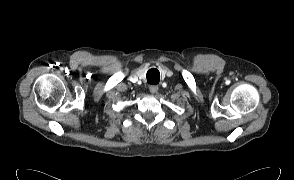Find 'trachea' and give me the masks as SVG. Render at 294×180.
Wrapping results in <instances>:
<instances>
[{
	"label": "trachea",
	"mask_w": 294,
	"mask_h": 180,
	"mask_svg": "<svg viewBox=\"0 0 294 180\" xmlns=\"http://www.w3.org/2000/svg\"><path fill=\"white\" fill-rule=\"evenodd\" d=\"M147 82L149 84H158L159 83V72L157 69L152 68L147 72Z\"/></svg>",
	"instance_id": "trachea-1"
}]
</instances>
